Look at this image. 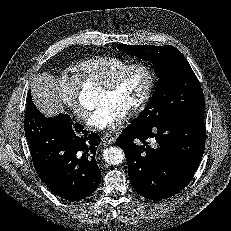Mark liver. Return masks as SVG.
Returning <instances> with one entry per match:
<instances>
[{
	"mask_svg": "<svg viewBox=\"0 0 231 231\" xmlns=\"http://www.w3.org/2000/svg\"><path fill=\"white\" fill-rule=\"evenodd\" d=\"M31 95L35 106L46 116L53 117L64 112L56 80L48 73L34 76Z\"/></svg>",
	"mask_w": 231,
	"mask_h": 231,
	"instance_id": "liver-1",
	"label": "liver"
}]
</instances>
